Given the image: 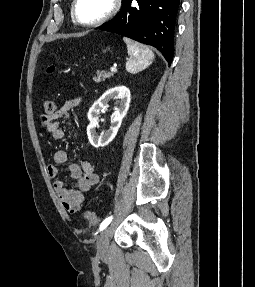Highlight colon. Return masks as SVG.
<instances>
[{
    "label": "colon",
    "instance_id": "colon-1",
    "mask_svg": "<svg viewBox=\"0 0 255 287\" xmlns=\"http://www.w3.org/2000/svg\"><path fill=\"white\" fill-rule=\"evenodd\" d=\"M55 70H56V65L55 64H51L47 68V73L52 74V73L55 72ZM43 106H44V110H45V112L47 114H52L56 110L55 102L49 97H45L43 99ZM84 218L91 225H97V224L100 223V220H101L99 215H97L96 213H94L92 211H89V210L84 212Z\"/></svg>",
    "mask_w": 255,
    "mask_h": 287
}]
</instances>
